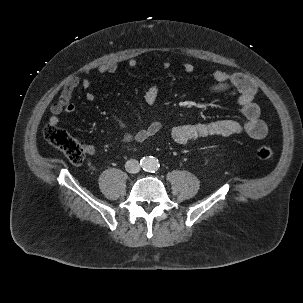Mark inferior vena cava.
Segmentation results:
<instances>
[{
    "label": "inferior vena cava",
    "instance_id": "1",
    "mask_svg": "<svg viewBox=\"0 0 303 303\" xmlns=\"http://www.w3.org/2000/svg\"><path fill=\"white\" fill-rule=\"evenodd\" d=\"M125 169L128 173H138L140 171L139 162L135 159H130L126 162Z\"/></svg>",
    "mask_w": 303,
    "mask_h": 303
}]
</instances>
